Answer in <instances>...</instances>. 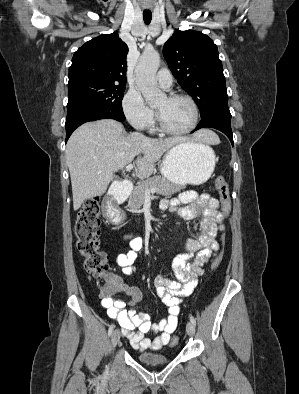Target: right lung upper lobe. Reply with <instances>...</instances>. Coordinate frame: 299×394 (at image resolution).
Here are the masks:
<instances>
[{"label":"right lung upper lobe","mask_w":299,"mask_h":394,"mask_svg":"<svg viewBox=\"0 0 299 394\" xmlns=\"http://www.w3.org/2000/svg\"><path fill=\"white\" fill-rule=\"evenodd\" d=\"M127 53L128 46L117 33L86 42L74 53L68 87L94 82L125 85Z\"/></svg>","instance_id":"cb5924a9"}]
</instances>
